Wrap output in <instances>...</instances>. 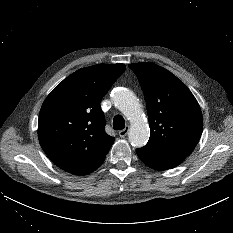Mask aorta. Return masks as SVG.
I'll return each mask as SVG.
<instances>
[{"mask_svg":"<svg viewBox=\"0 0 233 233\" xmlns=\"http://www.w3.org/2000/svg\"><path fill=\"white\" fill-rule=\"evenodd\" d=\"M115 106L130 121L129 142L139 148L144 146L149 139V126L133 92L127 89H117L113 94Z\"/></svg>","mask_w":233,"mask_h":233,"instance_id":"762f6f07","label":"aorta"}]
</instances>
